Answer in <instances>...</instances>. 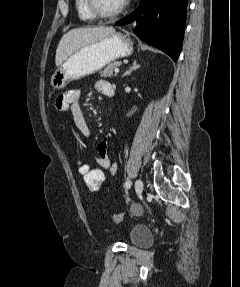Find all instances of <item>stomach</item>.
I'll return each mask as SVG.
<instances>
[{
  "mask_svg": "<svg viewBox=\"0 0 240 287\" xmlns=\"http://www.w3.org/2000/svg\"><path fill=\"white\" fill-rule=\"evenodd\" d=\"M133 53V43L124 33L114 32L107 37L81 47L57 68L51 77V86L60 90L73 81L91 75L107 64Z\"/></svg>",
  "mask_w": 240,
  "mask_h": 287,
  "instance_id": "stomach-1",
  "label": "stomach"
}]
</instances>
